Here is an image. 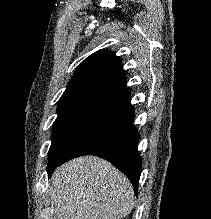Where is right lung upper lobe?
Segmentation results:
<instances>
[{
    "label": "right lung upper lobe",
    "instance_id": "right-lung-upper-lobe-1",
    "mask_svg": "<svg viewBox=\"0 0 211 219\" xmlns=\"http://www.w3.org/2000/svg\"><path fill=\"white\" fill-rule=\"evenodd\" d=\"M122 62L113 52L99 50L75 71L59 103L93 99L122 107L130 102Z\"/></svg>",
    "mask_w": 211,
    "mask_h": 219
}]
</instances>
